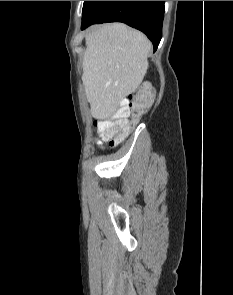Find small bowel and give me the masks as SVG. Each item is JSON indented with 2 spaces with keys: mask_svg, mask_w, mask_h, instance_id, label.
<instances>
[{
  "mask_svg": "<svg viewBox=\"0 0 233 295\" xmlns=\"http://www.w3.org/2000/svg\"><path fill=\"white\" fill-rule=\"evenodd\" d=\"M97 144L100 146L101 149H103V147L101 146L102 143L100 141H98Z\"/></svg>",
  "mask_w": 233,
  "mask_h": 295,
  "instance_id": "small-bowel-1",
  "label": "small bowel"
}]
</instances>
